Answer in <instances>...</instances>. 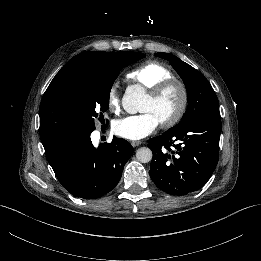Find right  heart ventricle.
Wrapping results in <instances>:
<instances>
[{
  "mask_svg": "<svg viewBox=\"0 0 261 261\" xmlns=\"http://www.w3.org/2000/svg\"><path fill=\"white\" fill-rule=\"evenodd\" d=\"M128 77L146 90L151 91L160 82L174 78V75L164 64L158 61H147L132 70Z\"/></svg>",
  "mask_w": 261,
  "mask_h": 261,
  "instance_id": "obj_1",
  "label": "right heart ventricle"
}]
</instances>
